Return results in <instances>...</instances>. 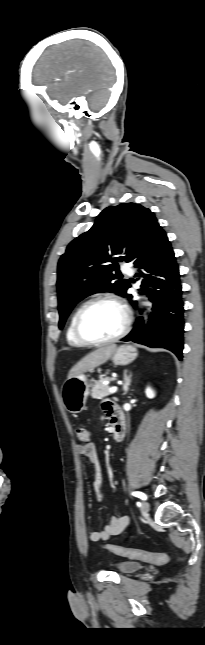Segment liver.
I'll return each instance as SVG.
<instances>
[{
  "instance_id": "obj_1",
  "label": "liver",
  "mask_w": 205,
  "mask_h": 645,
  "mask_svg": "<svg viewBox=\"0 0 205 645\" xmlns=\"http://www.w3.org/2000/svg\"><path fill=\"white\" fill-rule=\"evenodd\" d=\"M116 350V345H108L98 348L97 350L89 353L82 358L76 365L69 371L68 378L77 376L87 371H92L94 368L104 364Z\"/></svg>"
}]
</instances>
